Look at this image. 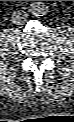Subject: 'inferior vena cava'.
Listing matches in <instances>:
<instances>
[{
	"label": "inferior vena cava",
	"mask_w": 74,
	"mask_h": 122,
	"mask_svg": "<svg viewBox=\"0 0 74 122\" xmlns=\"http://www.w3.org/2000/svg\"><path fill=\"white\" fill-rule=\"evenodd\" d=\"M27 14L25 11H14L12 15V21L15 24H23L26 21Z\"/></svg>",
	"instance_id": "inferior-vena-cava-1"
}]
</instances>
